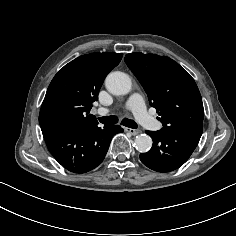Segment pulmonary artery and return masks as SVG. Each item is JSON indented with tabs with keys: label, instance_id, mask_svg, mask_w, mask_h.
Wrapping results in <instances>:
<instances>
[{
	"label": "pulmonary artery",
	"instance_id": "1",
	"mask_svg": "<svg viewBox=\"0 0 236 236\" xmlns=\"http://www.w3.org/2000/svg\"><path fill=\"white\" fill-rule=\"evenodd\" d=\"M126 105L139 123L146 125L152 121V117L148 114L144 99L140 94H132ZM109 112L107 108H99L96 110V113L100 116L107 115Z\"/></svg>",
	"mask_w": 236,
	"mask_h": 236
}]
</instances>
